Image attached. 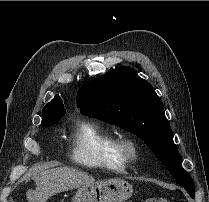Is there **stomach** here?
Instances as JSON below:
<instances>
[{"mask_svg":"<svg viewBox=\"0 0 209 202\" xmlns=\"http://www.w3.org/2000/svg\"><path fill=\"white\" fill-rule=\"evenodd\" d=\"M133 194V187L122 179L97 181L80 187L72 202H123Z\"/></svg>","mask_w":209,"mask_h":202,"instance_id":"obj_1","label":"stomach"}]
</instances>
